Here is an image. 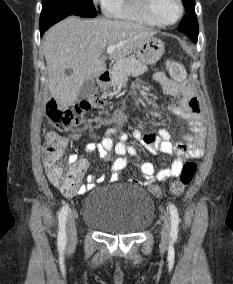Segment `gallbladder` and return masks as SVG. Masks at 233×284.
<instances>
[{"instance_id":"1","label":"gallbladder","mask_w":233,"mask_h":284,"mask_svg":"<svg viewBox=\"0 0 233 284\" xmlns=\"http://www.w3.org/2000/svg\"><path fill=\"white\" fill-rule=\"evenodd\" d=\"M96 90L95 80L94 79H87L82 84L80 91H79V97L81 99L87 98L91 96Z\"/></svg>"}]
</instances>
